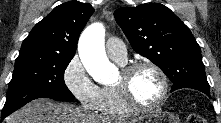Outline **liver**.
I'll use <instances>...</instances> for the list:
<instances>
[{
  "label": "liver",
  "instance_id": "1",
  "mask_svg": "<svg viewBox=\"0 0 221 123\" xmlns=\"http://www.w3.org/2000/svg\"><path fill=\"white\" fill-rule=\"evenodd\" d=\"M87 113L67 103L36 99L6 118V123H130Z\"/></svg>",
  "mask_w": 221,
  "mask_h": 123
}]
</instances>
